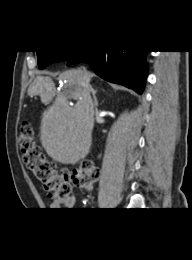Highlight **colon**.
I'll use <instances>...</instances> for the list:
<instances>
[{"label":"colon","mask_w":192,"mask_h":260,"mask_svg":"<svg viewBox=\"0 0 192 260\" xmlns=\"http://www.w3.org/2000/svg\"><path fill=\"white\" fill-rule=\"evenodd\" d=\"M19 144L26 167L43 185L50 197L58 200L68 198L72 193L71 181L83 191H91L99 177L98 167L91 161H83L73 172H59L37 145L30 123L23 122L20 128Z\"/></svg>","instance_id":"5ec220e1"}]
</instances>
